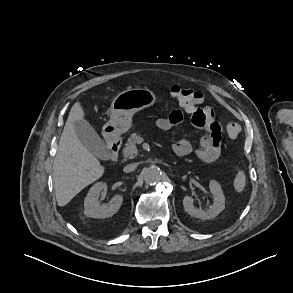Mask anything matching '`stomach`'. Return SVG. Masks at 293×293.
Here are the masks:
<instances>
[{
  "label": "stomach",
  "instance_id": "obj_1",
  "mask_svg": "<svg viewBox=\"0 0 293 293\" xmlns=\"http://www.w3.org/2000/svg\"><path fill=\"white\" fill-rule=\"evenodd\" d=\"M156 95L149 89L135 88L119 93L112 101L110 120L103 126L107 137L118 136L132 126V117L138 111L153 106Z\"/></svg>",
  "mask_w": 293,
  "mask_h": 293
}]
</instances>
